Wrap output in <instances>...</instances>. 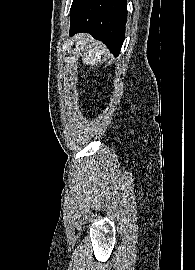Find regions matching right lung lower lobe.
<instances>
[{"mask_svg":"<svg viewBox=\"0 0 195 270\" xmlns=\"http://www.w3.org/2000/svg\"><path fill=\"white\" fill-rule=\"evenodd\" d=\"M70 21V36L79 32L90 33L117 56L125 38L127 2L75 0L71 6Z\"/></svg>","mask_w":195,"mask_h":270,"instance_id":"right-lung-lower-lobe-1","label":"right lung lower lobe"}]
</instances>
